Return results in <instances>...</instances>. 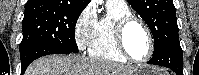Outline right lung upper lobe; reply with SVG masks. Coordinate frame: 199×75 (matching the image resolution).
I'll return each mask as SVG.
<instances>
[{
  "label": "right lung upper lobe",
  "mask_w": 199,
  "mask_h": 75,
  "mask_svg": "<svg viewBox=\"0 0 199 75\" xmlns=\"http://www.w3.org/2000/svg\"><path fill=\"white\" fill-rule=\"evenodd\" d=\"M91 0H28L25 6L35 5L39 7L60 4L74 8H85Z\"/></svg>",
  "instance_id": "1"
}]
</instances>
